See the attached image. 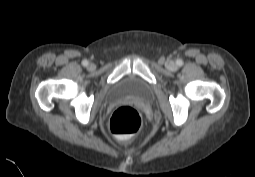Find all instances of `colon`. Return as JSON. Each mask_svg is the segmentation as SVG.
I'll return each mask as SVG.
<instances>
[{
    "instance_id": "1",
    "label": "colon",
    "mask_w": 255,
    "mask_h": 177,
    "mask_svg": "<svg viewBox=\"0 0 255 177\" xmlns=\"http://www.w3.org/2000/svg\"><path fill=\"white\" fill-rule=\"evenodd\" d=\"M141 126V115L131 106L119 107L109 120L110 131L120 138H127L136 134Z\"/></svg>"
}]
</instances>
